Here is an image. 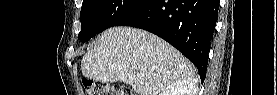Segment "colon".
Wrapping results in <instances>:
<instances>
[{"label":"colon","mask_w":277,"mask_h":95,"mask_svg":"<svg viewBox=\"0 0 277 95\" xmlns=\"http://www.w3.org/2000/svg\"><path fill=\"white\" fill-rule=\"evenodd\" d=\"M84 87L89 95H135L129 86L114 88L104 82L86 80Z\"/></svg>","instance_id":"1"}]
</instances>
